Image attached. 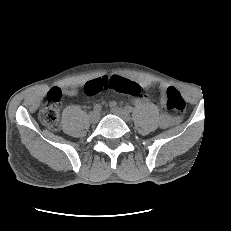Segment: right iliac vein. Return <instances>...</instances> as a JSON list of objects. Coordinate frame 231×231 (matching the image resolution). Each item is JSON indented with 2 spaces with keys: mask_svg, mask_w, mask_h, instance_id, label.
Wrapping results in <instances>:
<instances>
[{
  "mask_svg": "<svg viewBox=\"0 0 231 231\" xmlns=\"http://www.w3.org/2000/svg\"><path fill=\"white\" fill-rule=\"evenodd\" d=\"M89 119L92 123H97L100 119V115L98 112L93 111L89 114Z\"/></svg>",
  "mask_w": 231,
  "mask_h": 231,
  "instance_id": "1",
  "label": "right iliac vein"
}]
</instances>
